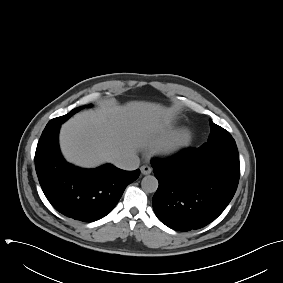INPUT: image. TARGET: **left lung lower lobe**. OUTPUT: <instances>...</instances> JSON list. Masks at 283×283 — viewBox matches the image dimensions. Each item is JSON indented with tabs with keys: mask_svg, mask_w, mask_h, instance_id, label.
<instances>
[{
	"mask_svg": "<svg viewBox=\"0 0 283 283\" xmlns=\"http://www.w3.org/2000/svg\"><path fill=\"white\" fill-rule=\"evenodd\" d=\"M159 187L153 209L166 226L189 231L215 220L233 198L240 177L239 159L187 149L166 161H153Z\"/></svg>",
	"mask_w": 283,
	"mask_h": 283,
	"instance_id": "1",
	"label": "left lung lower lobe"
}]
</instances>
